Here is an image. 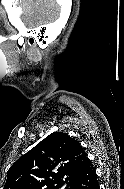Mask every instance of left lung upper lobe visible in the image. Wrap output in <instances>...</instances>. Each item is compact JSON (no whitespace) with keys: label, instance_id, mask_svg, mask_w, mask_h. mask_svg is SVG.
Here are the masks:
<instances>
[{"label":"left lung upper lobe","instance_id":"1","mask_svg":"<svg viewBox=\"0 0 124 189\" xmlns=\"http://www.w3.org/2000/svg\"><path fill=\"white\" fill-rule=\"evenodd\" d=\"M88 159L72 136L53 132L10 167L4 189H59L64 177L80 173Z\"/></svg>","mask_w":124,"mask_h":189}]
</instances>
